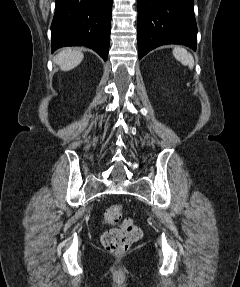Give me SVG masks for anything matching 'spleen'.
Listing matches in <instances>:
<instances>
[{
  "label": "spleen",
  "instance_id": "3e777b00",
  "mask_svg": "<svg viewBox=\"0 0 240 287\" xmlns=\"http://www.w3.org/2000/svg\"><path fill=\"white\" fill-rule=\"evenodd\" d=\"M173 56L183 65L188 66L190 69H193L194 58L186 49L178 46L175 47L173 49Z\"/></svg>",
  "mask_w": 240,
  "mask_h": 287
}]
</instances>
